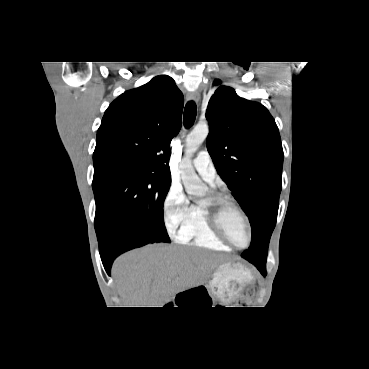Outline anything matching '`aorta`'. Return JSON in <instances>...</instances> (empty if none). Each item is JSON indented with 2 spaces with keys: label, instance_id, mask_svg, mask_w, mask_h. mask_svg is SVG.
I'll list each match as a JSON object with an SVG mask.
<instances>
[{
  "label": "aorta",
  "instance_id": "obj_1",
  "mask_svg": "<svg viewBox=\"0 0 369 369\" xmlns=\"http://www.w3.org/2000/svg\"><path fill=\"white\" fill-rule=\"evenodd\" d=\"M209 133L207 125H197L186 137L185 156L180 165V174L186 192L192 196H203L207 186L199 179L193 168L191 158Z\"/></svg>",
  "mask_w": 369,
  "mask_h": 369
}]
</instances>
